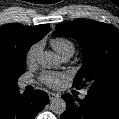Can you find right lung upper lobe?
Here are the masks:
<instances>
[{"label":"right lung upper lobe","mask_w":119,"mask_h":119,"mask_svg":"<svg viewBox=\"0 0 119 119\" xmlns=\"http://www.w3.org/2000/svg\"><path fill=\"white\" fill-rule=\"evenodd\" d=\"M49 31L48 24L35 27L19 24L0 26V107L19 91L11 73L15 55L41 40Z\"/></svg>","instance_id":"right-lung-upper-lobe-1"}]
</instances>
